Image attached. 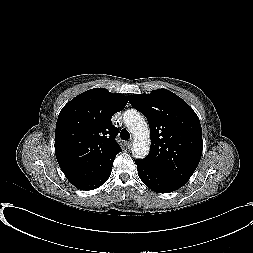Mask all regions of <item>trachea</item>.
Listing matches in <instances>:
<instances>
[{
	"label": "trachea",
	"instance_id": "trachea-1",
	"mask_svg": "<svg viewBox=\"0 0 253 253\" xmlns=\"http://www.w3.org/2000/svg\"><path fill=\"white\" fill-rule=\"evenodd\" d=\"M120 137H121L123 140H129L130 134H129V132H128L126 129H122V130H121V133H120Z\"/></svg>",
	"mask_w": 253,
	"mask_h": 253
}]
</instances>
